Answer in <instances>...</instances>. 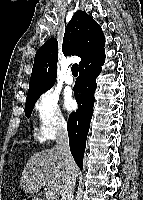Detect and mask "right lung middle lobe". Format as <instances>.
Here are the masks:
<instances>
[{"label": "right lung middle lobe", "mask_w": 143, "mask_h": 200, "mask_svg": "<svg viewBox=\"0 0 143 200\" xmlns=\"http://www.w3.org/2000/svg\"><path fill=\"white\" fill-rule=\"evenodd\" d=\"M52 87V86H51ZM51 87L39 92L38 94H36L34 97L26 99V104H25V115L29 118L32 112V109L36 103V101L38 100V98L40 97V95L44 92H46L48 89H50Z\"/></svg>", "instance_id": "dd1d6c3e"}]
</instances>
